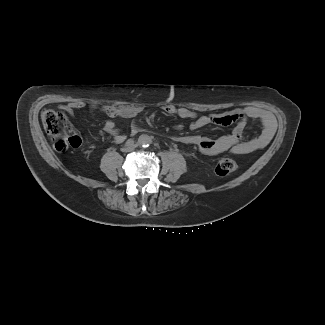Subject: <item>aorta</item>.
I'll use <instances>...</instances> for the list:
<instances>
[{
    "instance_id": "obj_1",
    "label": "aorta",
    "mask_w": 325,
    "mask_h": 325,
    "mask_svg": "<svg viewBox=\"0 0 325 325\" xmlns=\"http://www.w3.org/2000/svg\"><path fill=\"white\" fill-rule=\"evenodd\" d=\"M152 143V139L149 135L147 134H142L138 138V144L141 147H148Z\"/></svg>"
}]
</instances>
